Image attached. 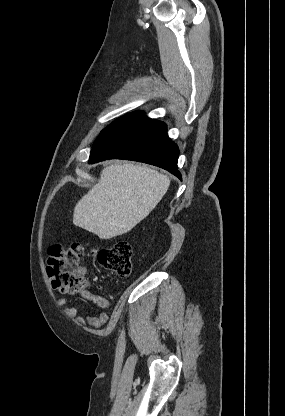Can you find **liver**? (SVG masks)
Instances as JSON below:
<instances>
[{
  "label": "liver",
  "instance_id": "obj_1",
  "mask_svg": "<svg viewBox=\"0 0 285 416\" xmlns=\"http://www.w3.org/2000/svg\"><path fill=\"white\" fill-rule=\"evenodd\" d=\"M170 178L151 168L111 164L74 208L73 224L110 240L130 232L165 196Z\"/></svg>",
  "mask_w": 285,
  "mask_h": 416
}]
</instances>
